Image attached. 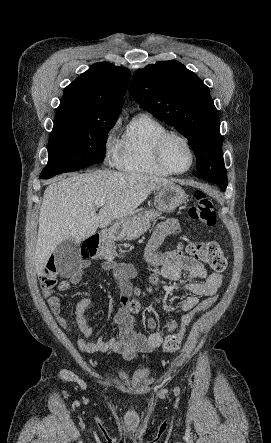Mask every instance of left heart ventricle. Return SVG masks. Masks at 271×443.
Listing matches in <instances>:
<instances>
[{"instance_id": "obj_1", "label": "left heart ventricle", "mask_w": 271, "mask_h": 443, "mask_svg": "<svg viewBox=\"0 0 271 443\" xmlns=\"http://www.w3.org/2000/svg\"><path fill=\"white\" fill-rule=\"evenodd\" d=\"M165 157L175 170H185L191 164V153L188 146L179 138H171L165 146Z\"/></svg>"}]
</instances>
